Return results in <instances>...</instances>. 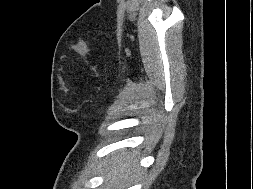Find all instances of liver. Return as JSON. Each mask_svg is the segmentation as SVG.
Listing matches in <instances>:
<instances>
[{
	"label": "liver",
	"mask_w": 253,
	"mask_h": 189,
	"mask_svg": "<svg viewBox=\"0 0 253 189\" xmlns=\"http://www.w3.org/2000/svg\"><path fill=\"white\" fill-rule=\"evenodd\" d=\"M134 172L135 164L129 155L123 152L112 154L106 165L107 189H125Z\"/></svg>",
	"instance_id": "6515ba94"
}]
</instances>
